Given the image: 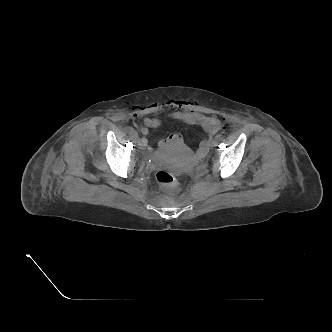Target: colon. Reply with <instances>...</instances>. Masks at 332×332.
<instances>
[{"instance_id": "5ec220e1", "label": "colon", "mask_w": 332, "mask_h": 332, "mask_svg": "<svg viewBox=\"0 0 332 332\" xmlns=\"http://www.w3.org/2000/svg\"><path fill=\"white\" fill-rule=\"evenodd\" d=\"M157 182L168 191H174L178 187V179L172 173L166 170H160L156 173Z\"/></svg>"}]
</instances>
